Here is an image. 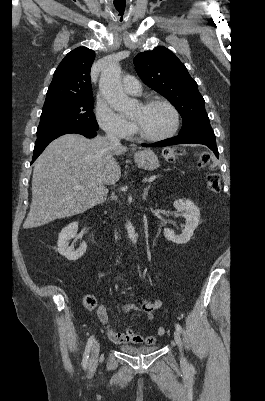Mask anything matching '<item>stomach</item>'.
I'll return each mask as SVG.
<instances>
[{
  "label": "stomach",
  "mask_w": 265,
  "mask_h": 401,
  "mask_svg": "<svg viewBox=\"0 0 265 401\" xmlns=\"http://www.w3.org/2000/svg\"><path fill=\"white\" fill-rule=\"evenodd\" d=\"M134 160L137 162L140 168H145V170H155L160 166L158 156L154 154L153 150L150 148H145V150H137L134 154Z\"/></svg>",
  "instance_id": "0dacf381"
}]
</instances>
